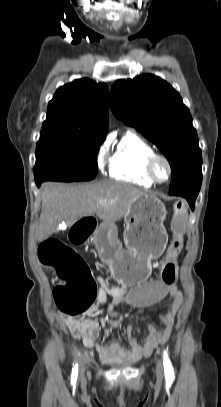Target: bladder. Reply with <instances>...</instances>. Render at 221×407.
Segmentation results:
<instances>
[{
  "instance_id": "31cf9c89",
  "label": "bladder",
  "mask_w": 221,
  "mask_h": 407,
  "mask_svg": "<svg viewBox=\"0 0 221 407\" xmlns=\"http://www.w3.org/2000/svg\"><path fill=\"white\" fill-rule=\"evenodd\" d=\"M107 364L114 365V366H130L135 363V361H123L117 359L105 360Z\"/></svg>"
}]
</instances>
